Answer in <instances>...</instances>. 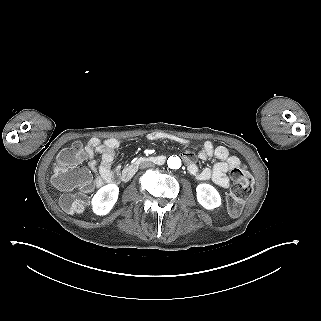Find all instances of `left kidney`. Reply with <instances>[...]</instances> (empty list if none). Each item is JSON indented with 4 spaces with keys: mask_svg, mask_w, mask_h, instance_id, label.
<instances>
[{
    "mask_svg": "<svg viewBox=\"0 0 321 321\" xmlns=\"http://www.w3.org/2000/svg\"><path fill=\"white\" fill-rule=\"evenodd\" d=\"M198 202L208 210L221 205V197L218 191L210 184H199L196 188Z\"/></svg>",
    "mask_w": 321,
    "mask_h": 321,
    "instance_id": "5707ae66",
    "label": "left kidney"
}]
</instances>
